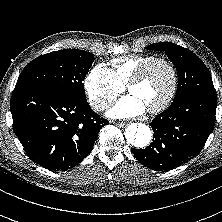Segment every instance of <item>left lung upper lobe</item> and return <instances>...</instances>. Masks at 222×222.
Returning <instances> with one entry per match:
<instances>
[{
	"label": "left lung upper lobe",
	"mask_w": 222,
	"mask_h": 222,
	"mask_svg": "<svg viewBox=\"0 0 222 222\" xmlns=\"http://www.w3.org/2000/svg\"><path fill=\"white\" fill-rule=\"evenodd\" d=\"M149 50L165 51L173 62L178 74V88L172 103L193 95L216 98V91L209 70L190 50L169 42L147 46Z\"/></svg>",
	"instance_id": "obj_1"
}]
</instances>
